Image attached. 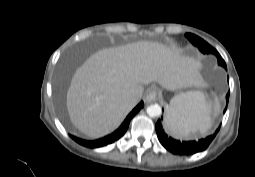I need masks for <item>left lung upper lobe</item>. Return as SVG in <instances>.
Wrapping results in <instances>:
<instances>
[{
  "mask_svg": "<svg viewBox=\"0 0 255 177\" xmlns=\"http://www.w3.org/2000/svg\"><path fill=\"white\" fill-rule=\"evenodd\" d=\"M185 36L189 39V41L193 45L197 46L202 53H204V54H209V53L215 54L216 57L218 58V64L223 66L225 69H227L225 61L223 60V58L216 51V49H214L212 46H210L206 41H204L200 37H198L194 34H191V33H186Z\"/></svg>",
  "mask_w": 255,
  "mask_h": 177,
  "instance_id": "1",
  "label": "left lung upper lobe"
}]
</instances>
